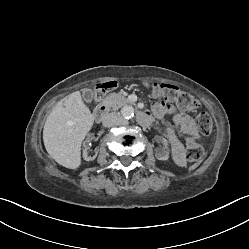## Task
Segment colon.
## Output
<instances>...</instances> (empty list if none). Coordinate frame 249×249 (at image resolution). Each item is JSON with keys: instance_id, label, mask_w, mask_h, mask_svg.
<instances>
[{"instance_id": "obj_1", "label": "colon", "mask_w": 249, "mask_h": 249, "mask_svg": "<svg viewBox=\"0 0 249 249\" xmlns=\"http://www.w3.org/2000/svg\"><path fill=\"white\" fill-rule=\"evenodd\" d=\"M117 86L116 81H108L100 84L97 87V92L95 95V100H101L105 93L113 90ZM145 87L152 93L154 97L164 98L168 102L175 103L187 109H195L198 105L195 98L189 93L180 90L178 87L166 84V83H153L145 82ZM195 125L198 131L203 135H208L211 133L213 128V121L211 116L205 112H199L195 116ZM186 139V157L191 163L200 162L205 156V149L197 144L193 136L187 135Z\"/></svg>"}]
</instances>
